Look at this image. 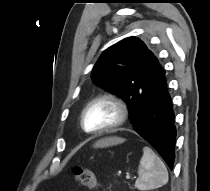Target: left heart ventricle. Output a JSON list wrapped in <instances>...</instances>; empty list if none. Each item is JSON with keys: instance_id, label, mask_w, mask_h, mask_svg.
Masks as SVG:
<instances>
[{"instance_id": "b2bd125f", "label": "left heart ventricle", "mask_w": 210, "mask_h": 191, "mask_svg": "<svg viewBox=\"0 0 210 191\" xmlns=\"http://www.w3.org/2000/svg\"><path fill=\"white\" fill-rule=\"evenodd\" d=\"M118 118V111L109 102H98L91 105L84 116L87 130H97L113 124Z\"/></svg>"}]
</instances>
